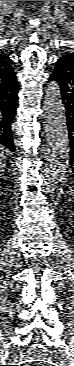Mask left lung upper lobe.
Returning <instances> with one entry per match:
<instances>
[{"instance_id": "5c2ea615", "label": "left lung upper lobe", "mask_w": 74, "mask_h": 366, "mask_svg": "<svg viewBox=\"0 0 74 366\" xmlns=\"http://www.w3.org/2000/svg\"><path fill=\"white\" fill-rule=\"evenodd\" d=\"M65 56L72 57L74 59V53L73 54H67Z\"/></svg>"}]
</instances>
